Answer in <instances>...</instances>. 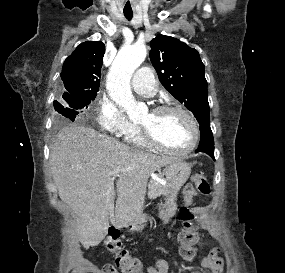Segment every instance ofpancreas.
Returning a JSON list of instances; mask_svg holds the SVG:
<instances>
[{
    "label": "pancreas",
    "instance_id": "cf45deb5",
    "mask_svg": "<svg viewBox=\"0 0 285 273\" xmlns=\"http://www.w3.org/2000/svg\"><path fill=\"white\" fill-rule=\"evenodd\" d=\"M170 193L169 185H162L156 180H150L148 184V198L156 199L158 196H168Z\"/></svg>",
    "mask_w": 285,
    "mask_h": 273
}]
</instances>
